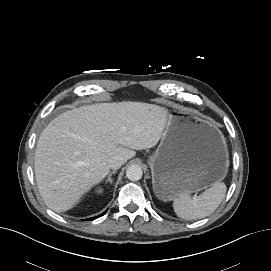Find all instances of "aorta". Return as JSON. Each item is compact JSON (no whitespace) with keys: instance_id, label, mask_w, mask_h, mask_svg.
Instances as JSON below:
<instances>
[{"instance_id":"obj_1","label":"aorta","mask_w":271,"mask_h":271,"mask_svg":"<svg viewBox=\"0 0 271 271\" xmlns=\"http://www.w3.org/2000/svg\"><path fill=\"white\" fill-rule=\"evenodd\" d=\"M143 171L139 165H130L126 170V176L131 181H138L142 178Z\"/></svg>"}]
</instances>
